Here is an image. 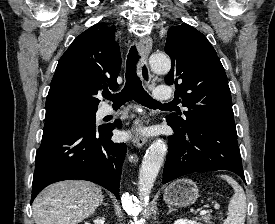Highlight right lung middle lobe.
I'll use <instances>...</instances> for the list:
<instances>
[{"mask_svg": "<svg viewBox=\"0 0 275 224\" xmlns=\"http://www.w3.org/2000/svg\"><path fill=\"white\" fill-rule=\"evenodd\" d=\"M97 109H87L79 107H66L47 112L45 115V125L51 123H76L85 126L96 127L95 114Z\"/></svg>", "mask_w": 275, "mask_h": 224, "instance_id": "right-lung-middle-lobe-1", "label": "right lung middle lobe"}]
</instances>
